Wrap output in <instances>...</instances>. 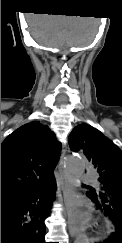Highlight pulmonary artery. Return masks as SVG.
Masks as SVG:
<instances>
[{"instance_id": "obj_1", "label": "pulmonary artery", "mask_w": 122, "mask_h": 243, "mask_svg": "<svg viewBox=\"0 0 122 243\" xmlns=\"http://www.w3.org/2000/svg\"><path fill=\"white\" fill-rule=\"evenodd\" d=\"M84 179L87 180V181H91V182H93V183H95V184H98L96 177L93 176V175L90 174V173H86V174L84 175Z\"/></svg>"}]
</instances>
